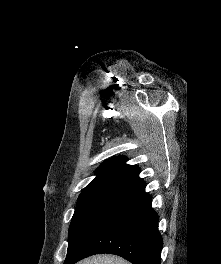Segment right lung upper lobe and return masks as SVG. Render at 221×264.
<instances>
[{
  "instance_id": "cb5924a9",
  "label": "right lung upper lobe",
  "mask_w": 221,
  "mask_h": 264,
  "mask_svg": "<svg viewBox=\"0 0 221 264\" xmlns=\"http://www.w3.org/2000/svg\"><path fill=\"white\" fill-rule=\"evenodd\" d=\"M125 156H118L106 160L96 170L97 177L87 185L83 192L100 188L127 189L142 179L139 178L140 169L136 165L126 164Z\"/></svg>"
}]
</instances>
